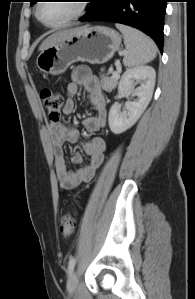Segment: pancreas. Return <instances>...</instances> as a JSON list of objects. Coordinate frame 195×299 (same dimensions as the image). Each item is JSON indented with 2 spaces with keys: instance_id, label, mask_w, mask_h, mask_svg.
Segmentation results:
<instances>
[{
  "instance_id": "obj_1",
  "label": "pancreas",
  "mask_w": 195,
  "mask_h": 299,
  "mask_svg": "<svg viewBox=\"0 0 195 299\" xmlns=\"http://www.w3.org/2000/svg\"><path fill=\"white\" fill-rule=\"evenodd\" d=\"M118 79L119 78H113V77H108L107 75H101L102 88L108 92L112 91L116 87L118 83Z\"/></svg>"
}]
</instances>
